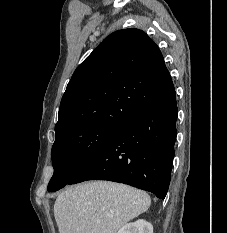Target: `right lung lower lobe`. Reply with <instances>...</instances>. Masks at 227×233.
I'll return each instance as SVG.
<instances>
[{"label": "right lung lower lobe", "mask_w": 227, "mask_h": 233, "mask_svg": "<svg viewBox=\"0 0 227 233\" xmlns=\"http://www.w3.org/2000/svg\"><path fill=\"white\" fill-rule=\"evenodd\" d=\"M175 91L125 122L68 183L109 180L164 199L170 184L177 130Z\"/></svg>", "instance_id": "right-lung-lower-lobe-1"}]
</instances>
